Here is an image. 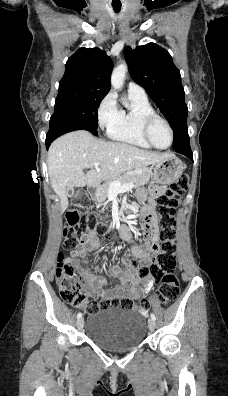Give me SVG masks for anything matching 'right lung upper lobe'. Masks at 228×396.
<instances>
[{
  "label": "right lung upper lobe",
  "mask_w": 228,
  "mask_h": 396,
  "mask_svg": "<svg viewBox=\"0 0 228 396\" xmlns=\"http://www.w3.org/2000/svg\"><path fill=\"white\" fill-rule=\"evenodd\" d=\"M113 63L99 48H80L66 62L59 88L76 87L108 93Z\"/></svg>",
  "instance_id": "1"
}]
</instances>
